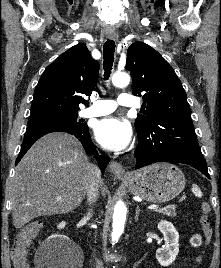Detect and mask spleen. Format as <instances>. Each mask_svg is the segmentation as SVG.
Wrapping results in <instances>:
<instances>
[{"instance_id":"3e777b00","label":"spleen","mask_w":221,"mask_h":268,"mask_svg":"<svg viewBox=\"0 0 221 268\" xmlns=\"http://www.w3.org/2000/svg\"><path fill=\"white\" fill-rule=\"evenodd\" d=\"M192 192L194 193L195 196L197 197H202V191L200 190V188L196 185V184H193L192 185Z\"/></svg>"}]
</instances>
